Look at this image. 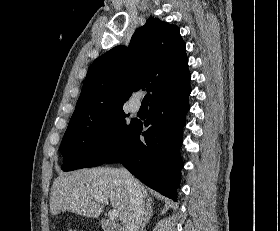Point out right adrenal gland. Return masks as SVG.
I'll list each match as a JSON object with an SVG mask.
<instances>
[{
    "mask_svg": "<svg viewBox=\"0 0 280 231\" xmlns=\"http://www.w3.org/2000/svg\"><path fill=\"white\" fill-rule=\"evenodd\" d=\"M151 215H153V205H152V203H147L146 209H145V217H143V221H142L141 227H140L141 231H143V229H144L146 223H148Z\"/></svg>",
    "mask_w": 280,
    "mask_h": 231,
    "instance_id": "obj_1",
    "label": "right adrenal gland"
}]
</instances>
